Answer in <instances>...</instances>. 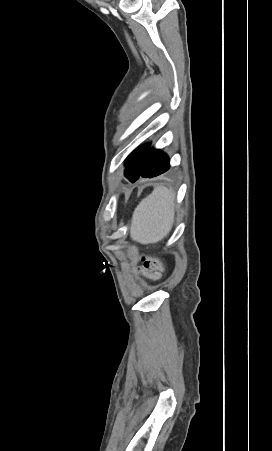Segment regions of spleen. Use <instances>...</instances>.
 Wrapping results in <instances>:
<instances>
[{"label": "spleen", "instance_id": "3e777b00", "mask_svg": "<svg viewBox=\"0 0 272 451\" xmlns=\"http://www.w3.org/2000/svg\"><path fill=\"white\" fill-rule=\"evenodd\" d=\"M174 216V194L165 186H157L135 208L130 235L139 243H157L168 235Z\"/></svg>", "mask_w": 272, "mask_h": 451}]
</instances>
